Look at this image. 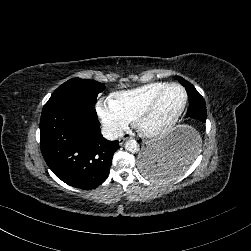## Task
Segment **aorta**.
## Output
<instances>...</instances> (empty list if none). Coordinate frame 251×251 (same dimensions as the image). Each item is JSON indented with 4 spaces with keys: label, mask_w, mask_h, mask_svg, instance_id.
<instances>
[{
    "label": "aorta",
    "mask_w": 251,
    "mask_h": 251,
    "mask_svg": "<svg viewBox=\"0 0 251 251\" xmlns=\"http://www.w3.org/2000/svg\"><path fill=\"white\" fill-rule=\"evenodd\" d=\"M125 149L131 153H136L139 151V144L134 139L128 140L125 143Z\"/></svg>",
    "instance_id": "obj_1"
}]
</instances>
